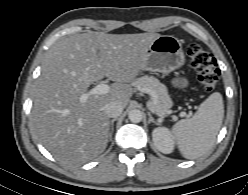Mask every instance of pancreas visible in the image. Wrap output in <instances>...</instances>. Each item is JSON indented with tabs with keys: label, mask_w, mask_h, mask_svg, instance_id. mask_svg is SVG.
I'll list each match as a JSON object with an SVG mask.
<instances>
[{
	"label": "pancreas",
	"mask_w": 248,
	"mask_h": 195,
	"mask_svg": "<svg viewBox=\"0 0 248 195\" xmlns=\"http://www.w3.org/2000/svg\"><path fill=\"white\" fill-rule=\"evenodd\" d=\"M133 85L150 95L151 101L149 108L153 113L160 117H164L168 114L173 102L168 95L166 86L160 83L158 79L153 76L145 75L136 79Z\"/></svg>",
	"instance_id": "1"
}]
</instances>
